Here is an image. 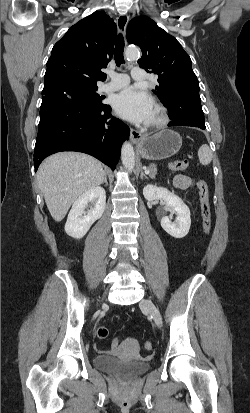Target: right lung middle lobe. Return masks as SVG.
Wrapping results in <instances>:
<instances>
[{
    "instance_id": "right-lung-middle-lobe-1",
    "label": "right lung middle lobe",
    "mask_w": 250,
    "mask_h": 413,
    "mask_svg": "<svg viewBox=\"0 0 250 413\" xmlns=\"http://www.w3.org/2000/svg\"><path fill=\"white\" fill-rule=\"evenodd\" d=\"M98 87L71 86L53 90L42 96L41 106L55 101H72L90 106H103L102 96L96 91Z\"/></svg>"
}]
</instances>
